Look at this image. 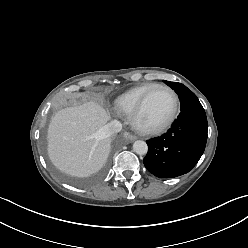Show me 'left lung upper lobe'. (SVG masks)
<instances>
[{
    "label": "left lung upper lobe",
    "mask_w": 248,
    "mask_h": 248,
    "mask_svg": "<svg viewBox=\"0 0 248 248\" xmlns=\"http://www.w3.org/2000/svg\"><path fill=\"white\" fill-rule=\"evenodd\" d=\"M165 84L170 86L175 92L178 94V97L180 99V109L183 110L187 107H189L193 101H199L198 98L195 96V94L190 91L185 85L177 82H170V81H165Z\"/></svg>",
    "instance_id": "1"
}]
</instances>
